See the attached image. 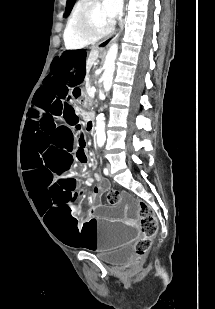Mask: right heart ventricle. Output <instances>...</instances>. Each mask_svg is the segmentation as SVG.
I'll use <instances>...</instances> for the list:
<instances>
[{
    "instance_id": "right-heart-ventricle-1",
    "label": "right heart ventricle",
    "mask_w": 215,
    "mask_h": 309,
    "mask_svg": "<svg viewBox=\"0 0 215 309\" xmlns=\"http://www.w3.org/2000/svg\"><path fill=\"white\" fill-rule=\"evenodd\" d=\"M76 10L74 9L71 14L69 15L67 22H66V26L63 32V41H64V45L66 48H82L81 46L77 45L70 34L69 30H75L76 29V24L75 23H70L72 16L74 14ZM76 36H79V33H76ZM74 40H78V37H74Z\"/></svg>"
}]
</instances>
